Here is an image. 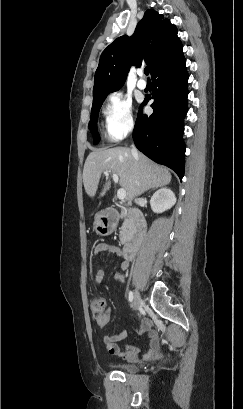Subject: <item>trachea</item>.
Listing matches in <instances>:
<instances>
[{
    "label": "trachea",
    "mask_w": 243,
    "mask_h": 409,
    "mask_svg": "<svg viewBox=\"0 0 243 409\" xmlns=\"http://www.w3.org/2000/svg\"><path fill=\"white\" fill-rule=\"evenodd\" d=\"M144 73H145L146 76H148L149 75V68H145Z\"/></svg>",
    "instance_id": "1"
}]
</instances>
